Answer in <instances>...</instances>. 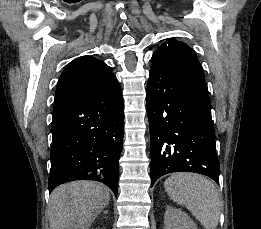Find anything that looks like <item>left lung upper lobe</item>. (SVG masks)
<instances>
[{
    "mask_svg": "<svg viewBox=\"0 0 261 229\" xmlns=\"http://www.w3.org/2000/svg\"><path fill=\"white\" fill-rule=\"evenodd\" d=\"M151 68L177 76L205 80L203 68L195 52L185 43L168 39L152 56Z\"/></svg>",
    "mask_w": 261,
    "mask_h": 229,
    "instance_id": "left-lung-upper-lobe-1",
    "label": "left lung upper lobe"
}]
</instances>
